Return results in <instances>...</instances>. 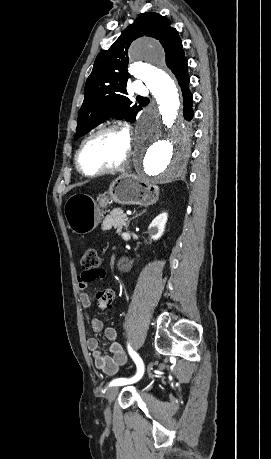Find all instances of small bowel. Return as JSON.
I'll use <instances>...</instances> for the list:
<instances>
[{
  "label": "small bowel",
  "mask_w": 271,
  "mask_h": 459,
  "mask_svg": "<svg viewBox=\"0 0 271 459\" xmlns=\"http://www.w3.org/2000/svg\"><path fill=\"white\" fill-rule=\"evenodd\" d=\"M105 275V270L98 268L89 272L84 271L78 277L79 300L84 308H90L92 305L91 298L86 291L88 283L95 280H101ZM91 328L95 333L103 331L105 338L111 342L109 355L103 354L95 338H89L86 344L92 355L96 369L106 375L112 376L116 374L119 368L126 362V354L122 346L116 340L117 331L113 327L104 328L103 322L98 318L91 319Z\"/></svg>",
  "instance_id": "1"
}]
</instances>
